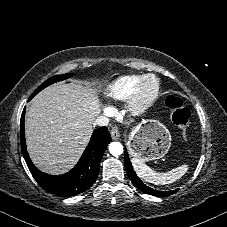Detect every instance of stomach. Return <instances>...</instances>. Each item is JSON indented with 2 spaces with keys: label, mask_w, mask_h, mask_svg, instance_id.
I'll use <instances>...</instances> for the list:
<instances>
[{
  "label": "stomach",
  "mask_w": 227,
  "mask_h": 227,
  "mask_svg": "<svg viewBox=\"0 0 227 227\" xmlns=\"http://www.w3.org/2000/svg\"><path fill=\"white\" fill-rule=\"evenodd\" d=\"M171 146V135L165 125L157 120H145L129 135V153L142 162L161 159Z\"/></svg>",
  "instance_id": "stomach-1"
}]
</instances>
